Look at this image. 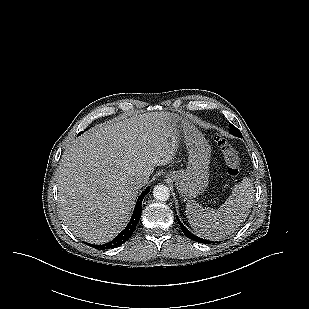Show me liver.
<instances>
[{
	"label": "liver",
	"instance_id": "obj_1",
	"mask_svg": "<svg viewBox=\"0 0 309 309\" xmlns=\"http://www.w3.org/2000/svg\"><path fill=\"white\" fill-rule=\"evenodd\" d=\"M178 141L164 112L103 123L73 141L56 176L59 214L70 231L89 243L112 240L138 195L133 179L148 182L154 167L172 162Z\"/></svg>",
	"mask_w": 309,
	"mask_h": 309
}]
</instances>
